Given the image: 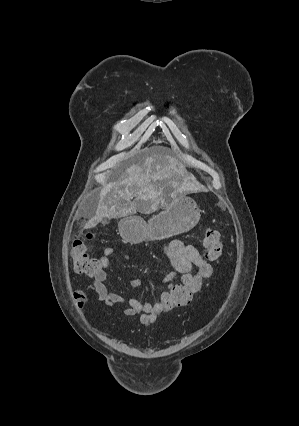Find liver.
<instances>
[{"label": "liver", "instance_id": "1", "mask_svg": "<svg viewBox=\"0 0 299 426\" xmlns=\"http://www.w3.org/2000/svg\"><path fill=\"white\" fill-rule=\"evenodd\" d=\"M176 175L184 176L183 164L167 148H152L142 165H131L118 180L101 189L95 214L84 228L95 227L103 218L157 210L165 202L164 185L174 184L172 178ZM133 196L136 199L131 201Z\"/></svg>", "mask_w": 299, "mask_h": 426}]
</instances>
